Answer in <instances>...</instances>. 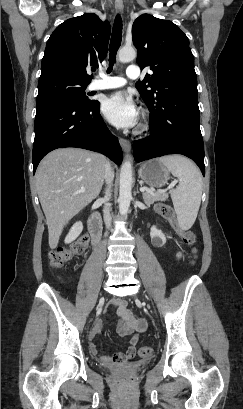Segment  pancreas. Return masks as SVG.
<instances>
[{"instance_id":"1","label":"pancreas","mask_w":243,"mask_h":409,"mask_svg":"<svg viewBox=\"0 0 243 409\" xmlns=\"http://www.w3.org/2000/svg\"><path fill=\"white\" fill-rule=\"evenodd\" d=\"M166 199L165 194H161V193H154L152 191H145L143 192V200L145 202L146 205H151L156 201H164Z\"/></svg>"}]
</instances>
